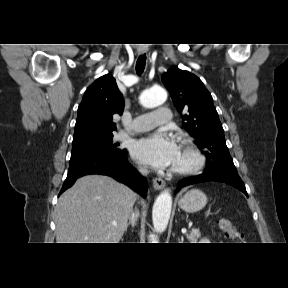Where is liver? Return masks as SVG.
Listing matches in <instances>:
<instances>
[{
    "label": "liver",
    "mask_w": 288,
    "mask_h": 288,
    "mask_svg": "<svg viewBox=\"0 0 288 288\" xmlns=\"http://www.w3.org/2000/svg\"><path fill=\"white\" fill-rule=\"evenodd\" d=\"M136 199L134 191L110 177L79 178L58 200L57 243H118Z\"/></svg>",
    "instance_id": "liver-1"
}]
</instances>
